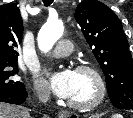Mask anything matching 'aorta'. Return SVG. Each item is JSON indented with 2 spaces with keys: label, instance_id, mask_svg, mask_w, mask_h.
<instances>
[{
  "label": "aorta",
  "instance_id": "762f6f07",
  "mask_svg": "<svg viewBox=\"0 0 133 118\" xmlns=\"http://www.w3.org/2000/svg\"><path fill=\"white\" fill-rule=\"evenodd\" d=\"M63 35V25L56 22H47L38 33V47L43 52H48Z\"/></svg>",
  "mask_w": 133,
  "mask_h": 118
}]
</instances>
